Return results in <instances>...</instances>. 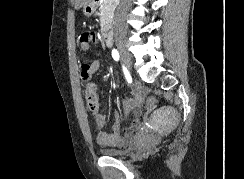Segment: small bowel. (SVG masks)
<instances>
[{"mask_svg":"<svg viewBox=\"0 0 244 179\" xmlns=\"http://www.w3.org/2000/svg\"><path fill=\"white\" fill-rule=\"evenodd\" d=\"M99 41V36L93 31H85L79 37V47L82 51H89L91 44H96ZM101 66L98 58L86 61L82 64L81 77L84 80L89 79L93 74L99 71ZM126 112H133L134 116L128 127L122 131L120 129L121 118L116 115L113 119L111 127L108 131H100L96 135V142L103 147L122 146L127 142L129 135L140 125L141 107L138 95L133 99L125 101ZM95 123L98 128H102L106 123L105 116L98 110L92 111Z\"/></svg>","mask_w":244,"mask_h":179,"instance_id":"obj_1","label":"small bowel"}]
</instances>
